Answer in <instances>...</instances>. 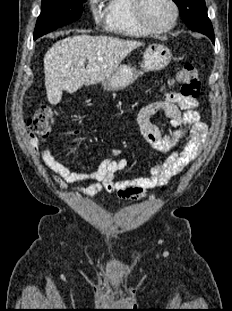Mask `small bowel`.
Wrapping results in <instances>:
<instances>
[{
    "instance_id": "c3829d8e",
    "label": "small bowel",
    "mask_w": 232,
    "mask_h": 311,
    "mask_svg": "<svg viewBox=\"0 0 232 311\" xmlns=\"http://www.w3.org/2000/svg\"><path fill=\"white\" fill-rule=\"evenodd\" d=\"M198 100L190 99L181 93L168 92L152 103L142 107L137 114L140 132L147 143L156 151L170 154L151 167L146 176L118 180L116 174L129 165L118 150H112L96 168L82 172L71 170L58 160L52 151L55 141L79 138L81 131L64 133L54 140L29 135V143L35 153L41 156L46 167L53 173L52 178L64 190H69V183H89L78 188L86 196H94L102 191L116 192L121 199L137 201L145 197L147 190L161 187L200 154L207 138V126L201 121L197 111ZM163 112L175 127L173 132L164 134L151 122V117ZM115 157V159H113Z\"/></svg>"
}]
</instances>
